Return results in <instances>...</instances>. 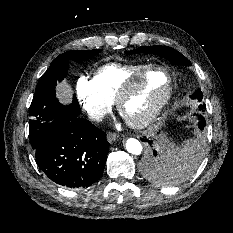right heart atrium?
I'll list each match as a JSON object with an SVG mask.
<instances>
[{"mask_svg": "<svg viewBox=\"0 0 233 233\" xmlns=\"http://www.w3.org/2000/svg\"><path fill=\"white\" fill-rule=\"evenodd\" d=\"M76 99L87 117L100 121L110 108V102L100 92L94 78L81 75L75 86Z\"/></svg>", "mask_w": 233, "mask_h": 233, "instance_id": "right-heart-atrium-1", "label": "right heart atrium"}]
</instances>
